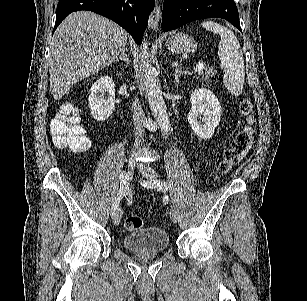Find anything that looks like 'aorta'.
Masks as SVG:
<instances>
[{"label":"aorta","mask_w":307,"mask_h":301,"mask_svg":"<svg viewBox=\"0 0 307 301\" xmlns=\"http://www.w3.org/2000/svg\"><path fill=\"white\" fill-rule=\"evenodd\" d=\"M148 44L147 40H143L141 46V54H143L144 58V82L146 86V96L148 100V104L150 106V110L152 114H154L157 122H159L161 134L163 138H166L168 134H171L172 126L167 110V106L165 104V100L163 98V92L161 90V82L158 80L155 74V68L152 66L150 62V54L148 52Z\"/></svg>","instance_id":"aorta-1"}]
</instances>
